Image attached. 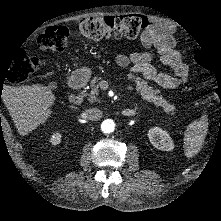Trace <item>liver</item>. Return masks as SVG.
<instances>
[{"label": "liver", "mask_w": 221, "mask_h": 221, "mask_svg": "<svg viewBox=\"0 0 221 221\" xmlns=\"http://www.w3.org/2000/svg\"><path fill=\"white\" fill-rule=\"evenodd\" d=\"M5 100L18 133L26 135L46 118L54 98L45 87L25 86L6 89Z\"/></svg>", "instance_id": "liver-1"}]
</instances>
